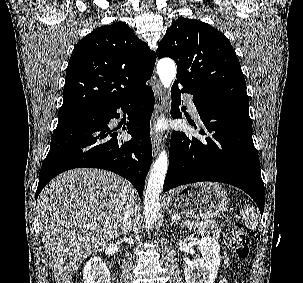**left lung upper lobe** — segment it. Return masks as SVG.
Returning a JSON list of instances; mask_svg holds the SVG:
<instances>
[{"instance_id": "obj_1", "label": "left lung upper lobe", "mask_w": 303, "mask_h": 283, "mask_svg": "<svg viewBox=\"0 0 303 283\" xmlns=\"http://www.w3.org/2000/svg\"><path fill=\"white\" fill-rule=\"evenodd\" d=\"M156 53L176 62L175 83L192 93L249 104L235 51L226 36L209 24L178 18L167 29Z\"/></svg>"}]
</instances>
